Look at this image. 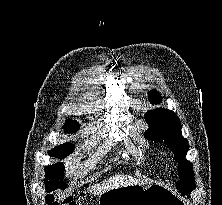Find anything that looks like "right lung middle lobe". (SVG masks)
<instances>
[{"mask_svg": "<svg viewBox=\"0 0 222 205\" xmlns=\"http://www.w3.org/2000/svg\"><path fill=\"white\" fill-rule=\"evenodd\" d=\"M64 131L66 133H75L79 129V124L78 125H66L63 127ZM74 150V145L72 143H64L60 146L55 147L51 151H49L50 156H54L56 158H63L68 156L70 153H72ZM64 165L61 163H57L54 165H50L45 167V176L48 179H51L50 181L47 182L48 185H54L58 186L59 188H65L66 183L60 182L59 180H63L64 177ZM47 180H45L46 182Z\"/></svg>", "mask_w": 222, "mask_h": 205, "instance_id": "right-lung-middle-lobe-1", "label": "right lung middle lobe"}]
</instances>
